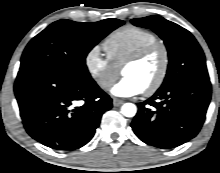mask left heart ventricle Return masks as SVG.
<instances>
[{
    "label": "left heart ventricle",
    "mask_w": 220,
    "mask_h": 173,
    "mask_svg": "<svg viewBox=\"0 0 220 173\" xmlns=\"http://www.w3.org/2000/svg\"><path fill=\"white\" fill-rule=\"evenodd\" d=\"M162 65V54L154 52L144 61L127 66L123 69L124 76L135 79L145 90L153 84L158 76Z\"/></svg>",
    "instance_id": "obj_1"
}]
</instances>
